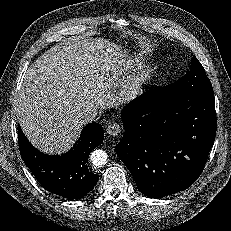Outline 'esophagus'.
I'll list each match as a JSON object with an SVG mask.
<instances>
[{"mask_svg": "<svg viewBox=\"0 0 231 231\" xmlns=\"http://www.w3.org/2000/svg\"><path fill=\"white\" fill-rule=\"evenodd\" d=\"M107 133L113 137L118 136L122 132V127L117 122H112L106 129Z\"/></svg>", "mask_w": 231, "mask_h": 231, "instance_id": "1", "label": "esophagus"}]
</instances>
